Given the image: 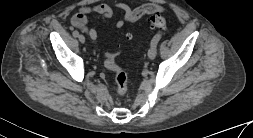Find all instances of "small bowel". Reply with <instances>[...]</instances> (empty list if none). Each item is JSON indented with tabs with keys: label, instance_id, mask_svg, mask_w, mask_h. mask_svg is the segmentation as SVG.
Wrapping results in <instances>:
<instances>
[{
	"label": "small bowel",
	"instance_id": "c3829d8e",
	"mask_svg": "<svg viewBox=\"0 0 253 138\" xmlns=\"http://www.w3.org/2000/svg\"><path fill=\"white\" fill-rule=\"evenodd\" d=\"M114 7L123 12V17L115 25L117 29L122 28L125 24L135 23L144 16L166 11L162 5L155 3H145L134 8L125 3H116ZM91 15L93 18H110L113 15V9L107 4L83 6L72 16L71 24L86 33L91 39L96 40L100 37L98 30L95 27H87Z\"/></svg>",
	"mask_w": 253,
	"mask_h": 138
}]
</instances>
